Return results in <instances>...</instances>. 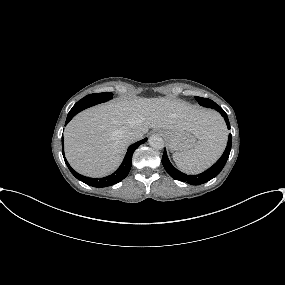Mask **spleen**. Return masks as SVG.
<instances>
[{"instance_id": "1", "label": "spleen", "mask_w": 285, "mask_h": 285, "mask_svg": "<svg viewBox=\"0 0 285 285\" xmlns=\"http://www.w3.org/2000/svg\"><path fill=\"white\" fill-rule=\"evenodd\" d=\"M227 142V130L224 123H218L213 133L199 140L190 151L175 152L173 160L185 173L197 174L210 167L223 153Z\"/></svg>"}]
</instances>
